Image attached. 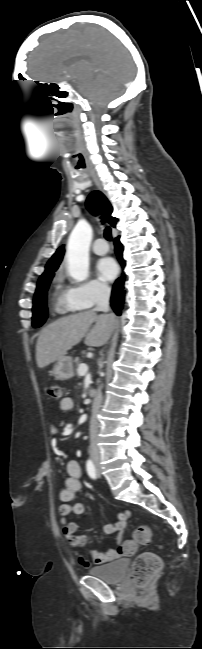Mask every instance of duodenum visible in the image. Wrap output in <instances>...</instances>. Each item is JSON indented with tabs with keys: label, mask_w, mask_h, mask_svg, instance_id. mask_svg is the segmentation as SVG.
Returning a JSON list of instances; mask_svg holds the SVG:
<instances>
[{
	"label": "duodenum",
	"mask_w": 202,
	"mask_h": 649,
	"mask_svg": "<svg viewBox=\"0 0 202 649\" xmlns=\"http://www.w3.org/2000/svg\"><path fill=\"white\" fill-rule=\"evenodd\" d=\"M89 396L92 397L93 399H96L98 397V391L95 389H92L88 392Z\"/></svg>",
	"instance_id": "410a0bca"
}]
</instances>
